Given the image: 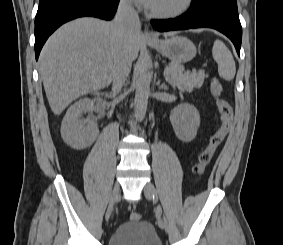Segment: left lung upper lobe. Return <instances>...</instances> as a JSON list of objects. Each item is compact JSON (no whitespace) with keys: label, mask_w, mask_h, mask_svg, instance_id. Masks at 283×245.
Here are the masks:
<instances>
[{"label":"left lung upper lobe","mask_w":283,"mask_h":245,"mask_svg":"<svg viewBox=\"0 0 283 245\" xmlns=\"http://www.w3.org/2000/svg\"><path fill=\"white\" fill-rule=\"evenodd\" d=\"M191 11H219L238 15L236 0H193Z\"/></svg>","instance_id":"1"}]
</instances>
